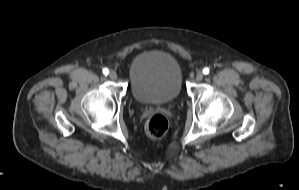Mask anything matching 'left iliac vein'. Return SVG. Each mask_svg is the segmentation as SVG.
<instances>
[{
    "instance_id": "left-iliac-vein-1",
    "label": "left iliac vein",
    "mask_w": 299,
    "mask_h": 190,
    "mask_svg": "<svg viewBox=\"0 0 299 190\" xmlns=\"http://www.w3.org/2000/svg\"><path fill=\"white\" fill-rule=\"evenodd\" d=\"M203 77H204V74H203L202 71H198V72L196 73V80H197V81H201V80L203 79Z\"/></svg>"
}]
</instances>
